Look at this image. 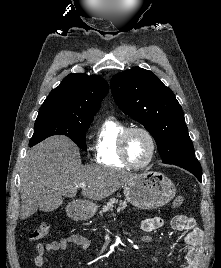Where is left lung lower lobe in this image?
Wrapping results in <instances>:
<instances>
[{"label": "left lung lower lobe", "mask_w": 221, "mask_h": 268, "mask_svg": "<svg viewBox=\"0 0 221 268\" xmlns=\"http://www.w3.org/2000/svg\"><path fill=\"white\" fill-rule=\"evenodd\" d=\"M174 165H177L179 167H182L192 174H194L197 179L201 182L202 180V171L199 161L196 158L191 159H184L175 163H172Z\"/></svg>", "instance_id": "0a47b994"}]
</instances>
